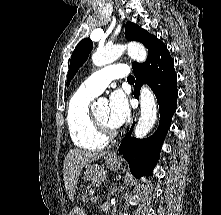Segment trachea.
I'll use <instances>...</instances> for the list:
<instances>
[{"label": "trachea", "mask_w": 221, "mask_h": 215, "mask_svg": "<svg viewBox=\"0 0 221 215\" xmlns=\"http://www.w3.org/2000/svg\"><path fill=\"white\" fill-rule=\"evenodd\" d=\"M134 80H135V78L131 75L127 77V81H134Z\"/></svg>", "instance_id": "3493384b"}]
</instances>
